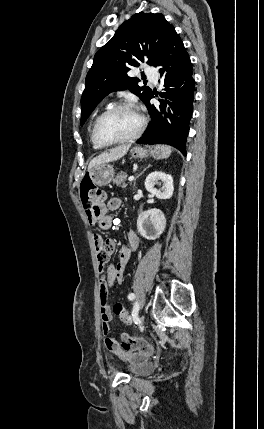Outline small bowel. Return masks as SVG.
<instances>
[{
	"label": "small bowel",
	"instance_id": "1",
	"mask_svg": "<svg viewBox=\"0 0 264 429\" xmlns=\"http://www.w3.org/2000/svg\"><path fill=\"white\" fill-rule=\"evenodd\" d=\"M121 205L122 200L120 198H111L106 204L100 205L96 213H86L89 224H98L103 229L112 227L114 225L115 219L109 214V212L118 210ZM126 240V243L120 247L118 262L107 267L104 278L99 286V294L101 304L102 331L106 336L104 340L105 347L109 352L118 355L134 364L150 356L153 352V346L145 341L146 346L143 350H126L121 346L120 341L114 337L108 336L110 331V322L113 318L110 306L108 304V288L114 283H122L125 267L131 257L132 252L137 250L139 246V238L133 229L127 230ZM93 242L97 252L99 271L103 272L104 265L108 261L110 255L115 251L116 244L113 239L105 240L98 234L93 236Z\"/></svg>",
	"mask_w": 264,
	"mask_h": 429
}]
</instances>
